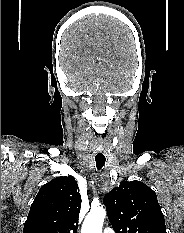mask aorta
Listing matches in <instances>:
<instances>
[{
    "mask_svg": "<svg viewBox=\"0 0 184 233\" xmlns=\"http://www.w3.org/2000/svg\"><path fill=\"white\" fill-rule=\"evenodd\" d=\"M105 216L106 210L103 207L92 209L83 222L81 233H102Z\"/></svg>",
    "mask_w": 184,
    "mask_h": 233,
    "instance_id": "obj_1",
    "label": "aorta"
}]
</instances>
